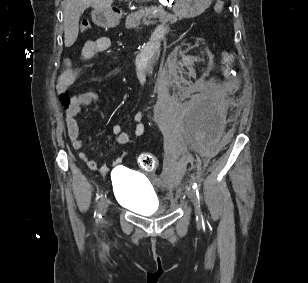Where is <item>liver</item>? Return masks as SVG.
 <instances>
[{
  "instance_id": "obj_1",
  "label": "liver",
  "mask_w": 308,
  "mask_h": 283,
  "mask_svg": "<svg viewBox=\"0 0 308 283\" xmlns=\"http://www.w3.org/2000/svg\"><path fill=\"white\" fill-rule=\"evenodd\" d=\"M138 1V0H136ZM141 1V0H140ZM149 1V0H143ZM113 0H65L64 1V44L70 47L78 37L79 20L84 11L93 7L96 10H109Z\"/></svg>"
}]
</instances>
